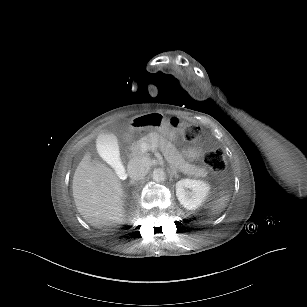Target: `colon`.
Listing matches in <instances>:
<instances>
[{
  "label": "colon",
  "instance_id": "5ec220e1",
  "mask_svg": "<svg viewBox=\"0 0 307 307\" xmlns=\"http://www.w3.org/2000/svg\"><path fill=\"white\" fill-rule=\"evenodd\" d=\"M170 125L183 133V138L189 143H196L201 141L199 127L193 124L173 117L170 119ZM205 164L215 173L221 175L225 171L226 161L222 151L217 149L209 150L205 153Z\"/></svg>",
  "mask_w": 307,
  "mask_h": 307
}]
</instances>
